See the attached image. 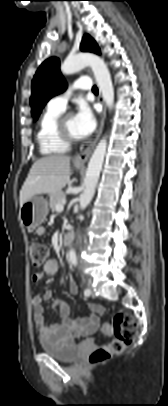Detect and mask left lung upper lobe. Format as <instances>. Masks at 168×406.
I'll list each match as a JSON object with an SVG mask.
<instances>
[{
  "instance_id": "left-lung-upper-lobe-1",
  "label": "left lung upper lobe",
  "mask_w": 168,
  "mask_h": 406,
  "mask_svg": "<svg viewBox=\"0 0 168 406\" xmlns=\"http://www.w3.org/2000/svg\"><path fill=\"white\" fill-rule=\"evenodd\" d=\"M80 49L82 51L100 54V49L94 39L85 34ZM60 62L56 57L45 60L38 68L32 80V95L30 98L32 116L37 119L45 104L53 96L64 92L67 84L60 72Z\"/></svg>"
}]
</instances>
